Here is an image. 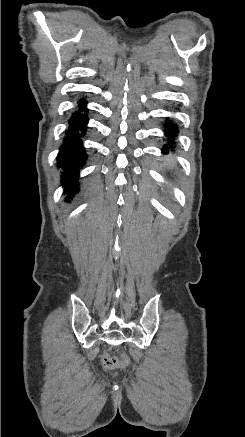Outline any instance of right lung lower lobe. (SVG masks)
I'll list each match as a JSON object with an SVG mask.
<instances>
[{
	"mask_svg": "<svg viewBox=\"0 0 245 437\" xmlns=\"http://www.w3.org/2000/svg\"><path fill=\"white\" fill-rule=\"evenodd\" d=\"M79 104L80 106L86 105L84 100H80ZM81 111L80 108L78 112L72 114L64 145L60 148L57 159V165L63 169L61 184L64 185L67 193L66 201H69L78 191V169L87 159L80 137L86 131L88 109L85 108L84 114Z\"/></svg>",
	"mask_w": 245,
	"mask_h": 437,
	"instance_id": "1",
	"label": "right lung lower lobe"
}]
</instances>
